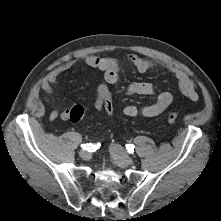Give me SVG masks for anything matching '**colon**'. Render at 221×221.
I'll use <instances>...</instances> for the list:
<instances>
[{
    "mask_svg": "<svg viewBox=\"0 0 221 221\" xmlns=\"http://www.w3.org/2000/svg\"><path fill=\"white\" fill-rule=\"evenodd\" d=\"M115 104H114V97L111 94H106L103 97V105L102 110L104 111L105 117L109 120H116L117 119V112L115 111ZM85 113V109L82 105H75L70 109L69 112V120L72 122H79L82 120ZM179 115L177 112L169 111L166 114V120L169 123H174L178 120Z\"/></svg>",
    "mask_w": 221,
    "mask_h": 221,
    "instance_id": "1",
    "label": "colon"
}]
</instances>
